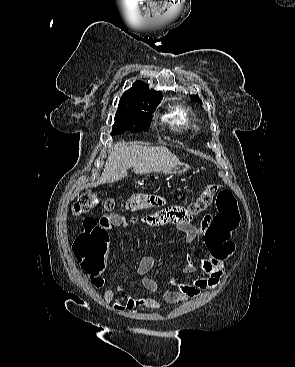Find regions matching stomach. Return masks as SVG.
I'll return each instance as SVG.
<instances>
[{
	"instance_id": "0dacf381",
	"label": "stomach",
	"mask_w": 295,
	"mask_h": 367,
	"mask_svg": "<svg viewBox=\"0 0 295 367\" xmlns=\"http://www.w3.org/2000/svg\"><path fill=\"white\" fill-rule=\"evenodd\" d=\"M188 167L186 165H177L176 167L163 171L165 174H182L187 171Z\"/></svg>"
}]
</instances>
